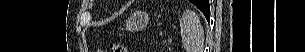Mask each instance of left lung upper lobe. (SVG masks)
Listing matches in <instances>:
<instances>
[{
  "label": "left lung upper lobe",
  "mask_w": 305,
  "mask_h": 52,
  "mask_svg": "<svg viewBox=\"0 0 305 52\" xmlns=\"http://www.w3.org/2000/svg\"><path fill=\"white\" fill-rule=\"evenodd\" d=\"M192 3H194L198 8H203L204 6V0H190Z\"/></svg>",
  "instance_id": "obj_1"
}]
</instances>
